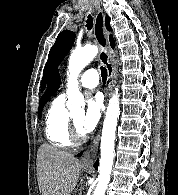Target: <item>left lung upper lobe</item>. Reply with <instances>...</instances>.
Returning <instances> with one entry per match:
<instances>
[{
  "label": "left lung upper lobe",
  "mask_w": 178,
  "mask_h": 195,
  "mask_svg": "<svg viewBox=\"0 0 178 195\" xmlns=\"http://www.w3.org/2000/svg\"><path fill=\"white\" fill-rule=\"evenodd\" d=\"M105 24H106V28L108 30H111L110 18L108 16L105 17ZM74 40H75V33L68 30L59 33V35L57 36L54 45L50 49L48 60L44 67L43 78L41 82L42 90L46 85L50 67L52 66V64L58 65L62 61V59L72 48Z\"/></svg>",
  "instance_id": "1"
}]
</instances>
